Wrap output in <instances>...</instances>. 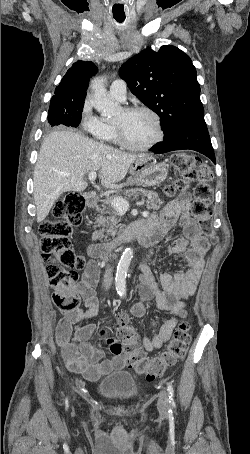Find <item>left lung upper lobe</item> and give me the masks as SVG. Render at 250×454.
I'll return each mask as SVG.
<instances>
[{
  "label": "left lung upper lobe",
  "instance_id": "1",
  "mask_svg": "<svg viewBox=\"0 0 250 454\" xmlns=\"http://www.w3.org/2000/svg\"><path fill=\"white\" fill-rule=\"evenodd\" d=\"M129 89L158 114L164 140L182 127L204 121L197 72L190 57L172 45L146 48L120 69Z\"/></svg>",
  "mask_w": 250,
  "mask_h": 454
}]
</instances>
